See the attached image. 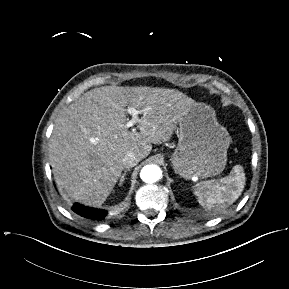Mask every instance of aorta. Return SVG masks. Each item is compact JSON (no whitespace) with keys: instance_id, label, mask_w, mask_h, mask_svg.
Masks as SVG:
<instances>
[{"instance_id":"aorta-1","label":"aorta","mask_w":289,"mask_h":289,"mask_svg":"<svg viewBox=\"0 0 289 289\" xmlns=\"http://www.w3.org/2000/svg\"><path fill=\"white\" fill-rule=\"evenodd\" d=\"M162 177V170L157 165H146L141 169L140 178L146 183L157 182Z\"/></svg>"}]
</instances>
